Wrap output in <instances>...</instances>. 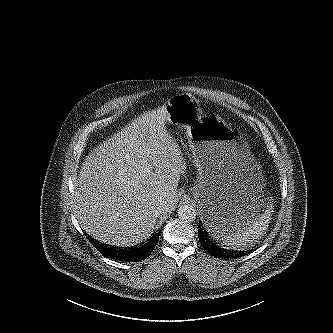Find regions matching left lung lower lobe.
Returning <instances> with one entry per match:
<instances>
[{"label": "left lung lower lobe", "instance_id": "obj_1", "mask_svg": "<svg viewBox=\"0 0 333 333\" xmlns=\"http://www.w3.org/2000/svg\"><path fill=\"white\" fill-rule=\"evenodd\" d=\"M198 236H199V241L202 244V246L205 248V250H207L214 257L231 259V258H239L245 254L244 251L242 252L234 251L224 248L219 243H217L206 231V229L200 224L198 227Z\"/></svg>", "mask_w": 333, "mask_h": 333}]
</instances>
